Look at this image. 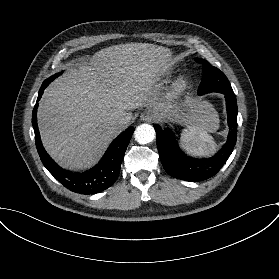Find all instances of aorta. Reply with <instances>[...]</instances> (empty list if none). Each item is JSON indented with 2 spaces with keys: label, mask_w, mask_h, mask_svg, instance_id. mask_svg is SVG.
<instances>
[{
  "label": "aorta",
  "mask_w": 279,
  "mask_h": 279,
  "mask_svg": "<svg viewBox=\"0 0 279 279\" xmlns=\"http://www.w3.org/2000/svg\"><path fill=\"white\" fill-rule=\"evenodd\" d=\"M135 140L139 144H148L152 142L155 138V130L153 126L149 124H141L139 125L134 133Z\"/></svg>",
  "instance_id": "762f6f07"
}]
</instances>
